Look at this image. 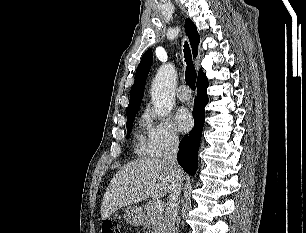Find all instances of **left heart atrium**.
<instances>
[{
    "instance_id": "39dd6f15",
    "label": "left heart atrium",
    "mask_w": 306,
    "mask_h": 233,
    "mask_svg": "<svg viewBox=\"0 0 306 233\" xmlns=\"http://www.w3.org/2000/svg\"><path fill=\"white\" fill-rule=\"evenodd\" d=\"M176 121L179 130L183 132L188 131L193 125L192 116L190 112L185 108H181L177 111Z\"/></svg>"
}]
</instances>
